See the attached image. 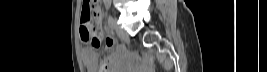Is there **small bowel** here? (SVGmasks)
Listing matches in <instances>:
<instances>
[{
  "label": "small bowel",
  "mask_w": 267,
  "mask_h": 72,
  "mask_svg": "<svg viewBox=\"0 0 267 72\" xmlns=\"http://www.w3.org/2000/svg\"><path fill=\"white\" fill-rule=\"evenodd\" d=\"M114 44L115 38L113 36H109L106 38V48H110ZM82 56L88 72H114L113 65L115 63V59L113 57L109 56L99 64L96 53L91 47L88 46L84 48Z\"/></svg>",
  "instance_id": "obj_1"
}]
</instances>
